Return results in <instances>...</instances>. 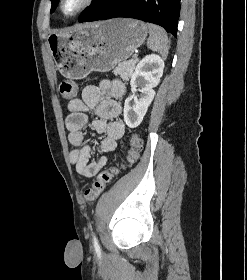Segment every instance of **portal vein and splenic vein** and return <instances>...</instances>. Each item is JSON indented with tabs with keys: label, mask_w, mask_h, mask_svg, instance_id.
<instances>
[{
	"label": "portal vein and splenic vein",
	"mask_w": 247,
	"mask_h": 280,
	"mask_svg": "<svg viewBox=\"0 0 247 280\" xmlns=\"http://www.w3.org/2000/svg\"><path fill=\"white\" fill-rule=\"evenodd\" d=\"M137 57H138V55L135 53V54L133 55V58L136 59Z\"/></svg>",
	"instance_id": "1"
}]
</instances>
